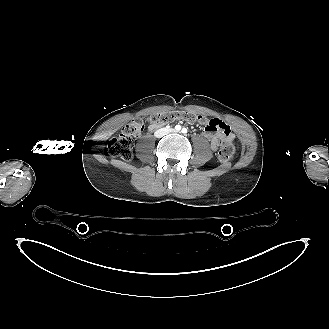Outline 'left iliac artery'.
Returning <instances> with one entry per match:
<instances>
[{"mask_svg":"<svg viewBox=\"0 0 329 329\" xmlns=\"http://www.w3.org/2000/svg\"><path fill=\"white\" fill-rule=\"evenodd\" d=\"M187 131H188L187 128H183V129H182V133H184V134H186Z\"/></svg>","mask_w":329,"mask_h":329,"instance_id":"left-iliac-artery-1","label":"left iliac artery"}]
</instances>
